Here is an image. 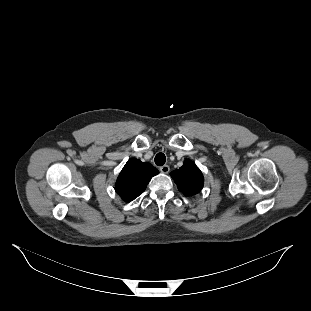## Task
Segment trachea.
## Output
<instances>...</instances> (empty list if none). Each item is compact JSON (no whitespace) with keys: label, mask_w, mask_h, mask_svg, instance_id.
Masks as SVG:
<instances>
[{"label":"trachea","mask_w":311,"mask_h":311,"mask_svg":"<svg viewBox=\"0 0 311 311\" xmlns=\"http://www.w3.org/2000/svg\"><path fill=\"white\" fill-rule=\"evenodd\" d=\"M154 161H155L156 165L163 166L165 164L166 157H165V155L163 153H158L155 156Z\"/></svg>","instance_id":"1"}]
</instances>
